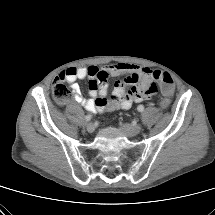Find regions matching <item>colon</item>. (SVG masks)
Listing matches in <instances>:
<instances>
[{"label":"colon","mask_w":215,"mask_h":215,"mask_svg":"<svg viewBox=\"0 0 215 215\" xmlns=\"http://www.w3.org/2000/svg\"><path fill=\"white\" fill-rule=\"evenodd\" d=\"M152 77L158 84H160L162 92L166 96L161 102V107L163 109H166L170 104L169 97L173 91V80L168 73L160 71H154L152 73ZM156 90L157 84L153 83L151 87L147 91H145V94L146 95L153 94L156 92ZM52 94L56 102H58L59 104L65 103L69 98L70 91L64 84L63 79H61L60 77L56 78L53 82Z\"/></svg>","instance_id":"obj_1"}]
</instances>
